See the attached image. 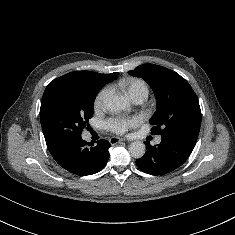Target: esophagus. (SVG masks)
Returning a JSON list of instances; mask_svg holds the SVG:
<instances>
[{"instance_id": "esophagus-1", "label": "esophagus", "mask_w": 235, "mask_h": 235, "mask_svg": "<svg viewBox=\"0 0 235 235\" xmlns=\"http://www.w3.org/2000/svg\"><path fill=\"white\" fill-rule=\"evenodd\" d=\"M123 141H124V139L119 138V137H112L109 139V142L111 145H115V144L123 142Z\"/></svg>"}]
</instances>
